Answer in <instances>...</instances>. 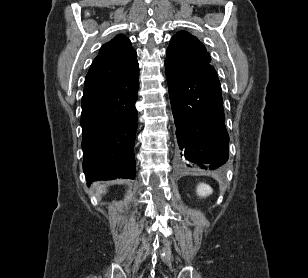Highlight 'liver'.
Masks as SVG:
<instances>
[{
    "instance_id": "6515ba94",
    "label": "liver",
    "mask_w": 308,
    "mask_h": 278,
    "mask_svg": "<svg viewBox=\"0 0 308 278\" xmlns=\"http://www.w3.org/2000/svg\"><path fill=\"white\" fill-rule=\"evenodd\" d=\"M98 191H99V192H102V186H99V187H98Z\"/></svg>"
}]
</instances>
